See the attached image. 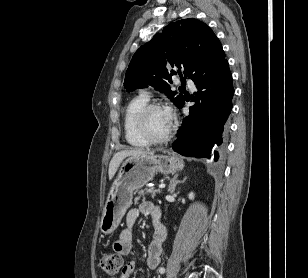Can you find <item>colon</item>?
<instances>
[{"mask_svg":"<svg viewBox=\"0 0 308 278\" xmlns=\"http://www.w3.org/2000/svg\"><path fill=\"white\" fill-rule=\"evenodd\" d=\"M101 269L108 275H116L120 272L123 265L122 256L118 253H107L99 260Z\"/></svg>","mask_w":308,"mask_h":278,"instance_id":"colon-1","label":"colon"}]
</instances>
